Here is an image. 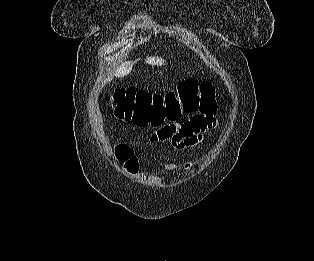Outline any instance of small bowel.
Here are the masks:
<instances>
[{
    "label": "small bowel",
    "mask_w": 314,
    "mask_h": 261,
    "mask_svg": "<svg viewBox=\"0 0 314 261\" xmlns=\"http://www.w3.org/2000/svg\"><path fill=\"white\" fill-rule=\"evenodd\" d=\"M214 110L203 112L197 111L198 115L189 116L188 120H166L156 133H147V140H165L166 145H172L173 151H186L202 140V134L217 126ZM192 168V164L184 167ZM173 170V167H168Z\"/></svg>",
    "instance_id": "obj_1"
}]
</instances>
